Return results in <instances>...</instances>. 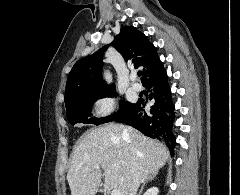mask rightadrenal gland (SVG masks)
Here are the masks:
<instances>
[{"label":"right adrenal gland","mask_w":240,"mask_h":195,"mask_svg":"<svg viewBox=\"0 0 240 195\" xmlns=\"http://www.w3.org/2000/svg\"><path fill=\"white\" fill-rule=\"evenodd\" d=\"M154 177H156V173H151V175H149V177H146L145 181H142L143 185H141V189H140L138 195H141L144 185H146V183H148V181H152V179H154Z\"/></svg>","instance_id":"right-adrenal-gland-1"}]
</instances>
